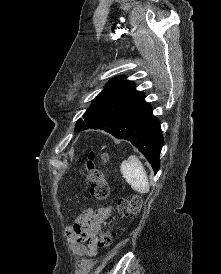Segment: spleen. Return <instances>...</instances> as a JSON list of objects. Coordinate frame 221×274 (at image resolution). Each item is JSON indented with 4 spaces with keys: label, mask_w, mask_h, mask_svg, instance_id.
<instances>
[{
    "label": "spleen",
    "mask_w": 221,
    "mask_h": 274,
    "mask_svg": "<svg viewBox=\"0 0 221 274\" xmlns=\"http://www.w3.org/2000/svg\"><path fill=\"white\" fill-rule=\"evenodd\" d=\"M120 171L126 182L139 193L149 192V183L146 171L135 156L131 155L127 160H124L120 165Z\"/></svg>",
    "instance_id": "1"
}]
</instances>
